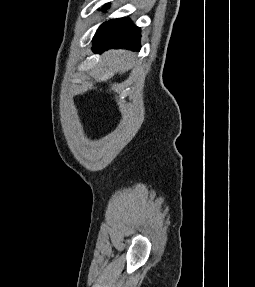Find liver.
I'll return each mask as SVG.
<instances>
[{
	"label": "liver",
	"mask_w": 255,
	"mask_h": 287,
	"mask_svg": "<svg viewBox=\"0 0 255 287\" xmlns=\"http://www.w3.org/2000/svg\"><path fill=\"white\" fill-rule=\"evenodd\" d=\"M104 58L107 62H111L118 74H125L133 66V54L132 52H126V50H110V52H106Z\"/></svg>",
	"instance_id": "obj_1"
}]
</instances>
